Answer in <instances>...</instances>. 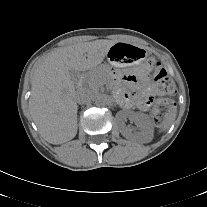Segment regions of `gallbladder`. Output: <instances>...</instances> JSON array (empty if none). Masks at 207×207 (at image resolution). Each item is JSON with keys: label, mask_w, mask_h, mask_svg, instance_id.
I'll list each match as a JSON object with an SVG mask.
<instances>
[{"label": "gallbladder", "mask_w": 207, "mask_h": 207, "mask_svg": "<svg viewBox=\"0 0 207 207\" xmlns=\"http://www.w3.org/2000/svg\"><path fill=\"white\" fill-rule=\"evenodd\" d=\"M70 73H71V74H74V71H71Z\"/></svg>", "instance_id": "obj_1"}]
</instances>
